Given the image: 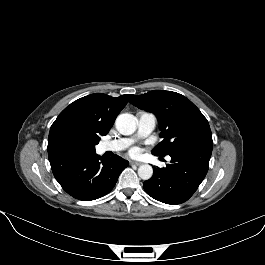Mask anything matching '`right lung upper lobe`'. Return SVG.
Wrapping results in <instances>:
<instances>
[{
	"mask_svg": "<svg viewBox=\"0 0 265 265\" xmlns=\"http://www.w3.org/2000/svg\"><path fill=\"white\" fill-rule=\"evenodd\" d=\"M131 97V94L115 98L95 93L74 101L52 124L48 136V152L61 148L59 137L67 130L83 131L99 139L105 136Z\"/></svg>",
	"mask_w": 265,
	"mask_h": 265,
	"instance_id": "right-lung-upper-lobe-1",
	"label": "right lung upper lobe"
}]
</instances>
